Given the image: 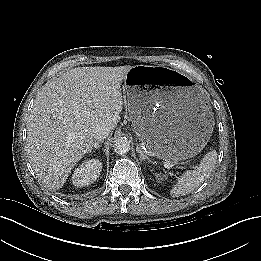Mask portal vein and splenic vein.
I'll return each mask as SVG.
<instances>
[{"label": "portal vein and splenic vein", "mask_w": 261, "mask_h": 261, "mask_svg": "<svg viewBox=\"0 0 261 261\" xmlns=\"http://www.w3.org/2000/svg\"><path fill=\"white\" fill-rule=\"evenodd\" d=\"M164 163H165V165H166V167H167V168H171V167H173V165H172V164H170V163H169V162H167V161H165Z\"/></svg>", "instance_id": "portal-vein-and-splenic-vein-1"}]
</instances>
